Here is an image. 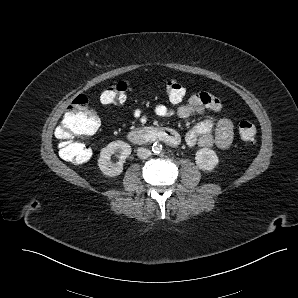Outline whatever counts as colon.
Instances as JSON below:
<instances>
[{"label":"colon","mask_w":298,"mask_h":298,"mask_svg":"<svg viewBox=\"0 0 298 298\" xmlns=\"http://www.w3.org/2000/svg\"><path fill=\"white\" fill-rule=\"evenodd\" d=\"M128 88L126 81H113L102 92L100 100L105 104H121L126 100ZM165 93L170 102L179 103L186 95V88L178 81L170 80L165 85ZM99 123L97 114L89 107L87 97L79 95L74 98L55 130L62 150L66 153L78 152L80 161L88 160L91 156L89 149L74 140L93 135ZM239 134L245 144L251 145L255 142L256 128L249 121H241Z\"/></svg>","instance_id":"1"}]
</instances>
